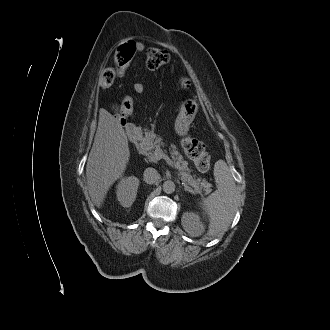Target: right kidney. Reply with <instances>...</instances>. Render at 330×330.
I'll return each mask as SVG.
<instances>
[{
  "label": "right kidney",
  "instance_id": "ca27d5eb",
  "mask_svg": "<svg viewBox=\"0 0 330 330\" xmlns=\"http://www.w3.org/2000/svg\"><path fill=\"white\" fill-rule=\"evenodd\" d=\"M139 183V179L135 176L120 179L116 186V195L123 207H130L135 201Z\"/></svg>",
  "mask_w": 330,
  "mask_h": 330
}]
</instances>
